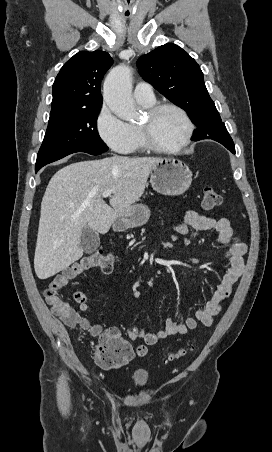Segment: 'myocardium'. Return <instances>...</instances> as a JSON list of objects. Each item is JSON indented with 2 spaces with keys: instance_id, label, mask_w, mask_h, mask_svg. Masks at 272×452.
I'll list each match as a JSON object with an SVG mask.
<instances>
[{
  "instance_id": "myocardium-1",
  "label": "myocardium",
  "mask_w": 272,
  "mask_h": 452,
  "mask_svg": "<svg viewBox=\"0 0 272 452\" xmlns=\"http://www.w3.org/2000/svg\"><path fill=\"white\" fill-rule=\"evenodd\" d=\"M165 109L173 110V111L177 112L184 121L185 132H184L183 137L177 144H175L173 146H162V145L155 143L149 135L147 125L144 123H140L138 125V129H139V133H140L142 142L146 148L153 150L155 152H160V153H175V152L182 150L184 147H186L188 145V143L190 142L191 137L193 135L194 126H193L192 120L189 117V115L187 114V112L182 107H180L176 104H173V103H160V104L152 105L146 111L147 117L151 118L154 115H156L158 112L165 110Z\"/></svg>"
}]
</instances>
